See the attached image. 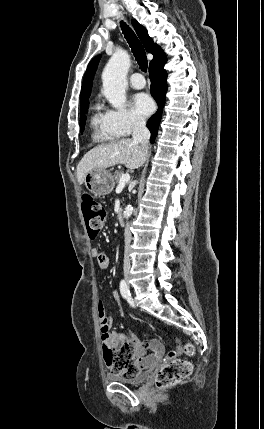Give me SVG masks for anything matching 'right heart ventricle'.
<instances>
[{
  "label": "right heart ventricle",
  "instance_id": "obj_1",
  "mask_svg": "<svg viewBox=\"0 0 264 429\" xmlns=\"http://www.w3.org/2000/svg\"><path fill=\"white\" fill-rule=\"evenodd\" d=\"M90 123L92 137L97 142H111L119 137L111 128L106 113L102 112L99 106L95 108Z\"/></svg>",
  "mask_w": 264,
  "mask_h": 429
}]
</instances>
